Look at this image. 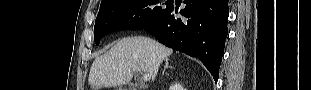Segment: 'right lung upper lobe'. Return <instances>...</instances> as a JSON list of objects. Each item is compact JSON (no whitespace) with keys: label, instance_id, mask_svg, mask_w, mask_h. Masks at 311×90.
Listing matches in <instances>:
<instances>
[{"label":"right lung upper lobe","instance_id":"obj_1","mask_svg":"<svg viewBox=\"0 0 311 90\" xmlns=\"http://www.w3.org/2000/svg\"><path fill=\"white\" fill-rule=\"evenodd\" d=\"M106 0H102V2L101 3H103V2H105Z\"/></svg>","mask_w":311,"mask_h":90}]
</instances>
